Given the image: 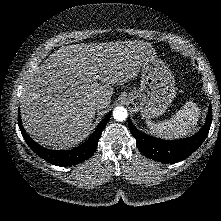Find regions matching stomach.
<instances>
[{"instance_id":"0dacf381","label":"stomach","mask_w":221,"mask_h":221,"mask_svg":"<svg viewBox=\"0 0 221 221\" xmlns=\"http://www.w3.org/2000/svg\"><path fill=\"white\" fill-rule=\"evenodd\" d=\"M176 95L175 79L169 66L156 56L148 57L141 67L140 87L127 99L142 118L162 115Z\"/></svg>"}]
</instances>
